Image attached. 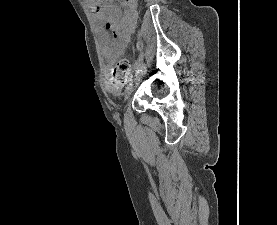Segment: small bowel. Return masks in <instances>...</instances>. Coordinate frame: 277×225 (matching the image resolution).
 I'll return each mask as SVG.
<instances>
[{"label":"small bowel","mask_w":277,"mask_h":225,"mask_svg":"<svg viewBox=\"0 0 277 225\" xmlns=\"http://www.w3.org/2000/svg\"><path fill=\"white\" fill-rule=\"evenodd\" d=\"M122 5L129 9L124 17L121 11L113 5L98 2L90 4L94 22L99 29L103 52L107 58L112 57L117 48L128 43L135 26L137 0H122ZM110 31L113 33V41H111ZM105 86L109 93L119 95L120 87L114 83L110 72L106 75Z\"/></svg>","instance_id":"c3829d8e"}]
</instances>
